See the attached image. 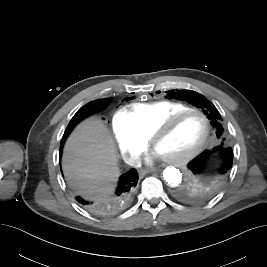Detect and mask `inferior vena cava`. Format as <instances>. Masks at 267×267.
I'll use <instances>...</instances> for the list:
<instances>
[{
    "mask_svg": "<svg viewBox=\"0 0 267 267\" xmlns=\"http://www.w3.org/2000/svg\"><path fill=\"white\" fill-rule=\"evenodd\" d=\"M125 162L128 164V165H131V166H134V167H139L141 165V161L139 158L137 157H134V156H131V157H127L125 159Z\"/></svg>",
    "mask_w": 267,
    "mask_h": 267,
    "instance_id": "602c4592",
    "label": "inferior vena cava"
}]
</instances>
